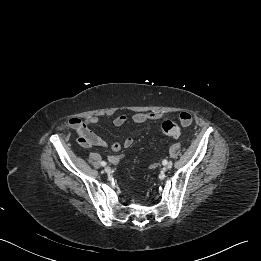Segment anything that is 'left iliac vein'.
Listing matches in <instances>:
<instances>
[{"instance_id": "obj_1", "label": "left iliac vein", "mask_w": 261, "mask_h": 261, "mask_svg": "<svg viewBox=\"0 0 261 261\" xmlns=\"http://www.w3.org/2000/svg\"><path fill=\"white\" fill-rule=\"evenodd\" d=\"M165 167L167 169H171L172 168V162L171 161L167 162V164H165Z\"/></svg>"}]
</instances>
